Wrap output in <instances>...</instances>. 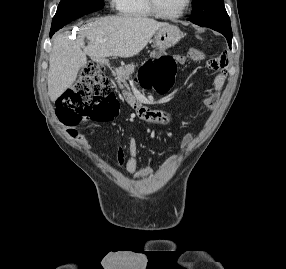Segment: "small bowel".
<instances>
[{
  "label": "small bowel",
  "mask_w": 286,
  "mask_h": 269,
  "mask_svg": "<svg viewBox=\"0 0 286 269\" xmlns=\"http://www.w3.org/2000/svg\"><path fill=\"white\" fill-rule=\"evenodd\" d=\"M176 61L184 65L188 62H200L207 59V55L197 49H190L185 54H179L175 56ZM207 67L213 71H216L214 78V90L219 93L223 87L227 76L228 69V57L226 54H222L216 58L207 60ZM122 93H133V88H122ZM124 99H135V94H124ZM129 106H134L137 110V120H153L154 123H168L170 120L169 111H157L156 108H146V105H141V101H129ZM205 106L213 112L215 109V96H210L205 99ZM81 143L87 145L85 138L81 137ZM191 141L190 135H186L184 138V144L187 145ZM138 144L134 137H130L128 141V157L125 159L124 150L122 147L118 148L117 160L119 165L124 166L126 171L130 175L138 174ZM155 173L152 170L149 162L143 167L140 174L141 177L153 176Z\"/></svg>",
  "instance_id": "obj_1"
}]
</instances>
